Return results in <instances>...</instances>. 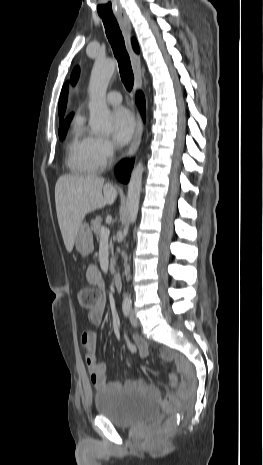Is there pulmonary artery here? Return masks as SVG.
I'll return each instance as SVG.
<instances>
[{
    "label": "pulmonary artery",
    "instance_id": "1",
    "mask_svg": "<svg viewBox=\"0 0 263 465\" xmlns=\"http://www.w3.org/2000/svg\"><path fill=\"white\" fill-rule=\"evenodd\" d=\"M106 100L111 105H118L122 102V96L118 91H110L106 96Z\"/></svg>",
    "mask_w": 263,
    "mask_h": 465
}]
</instances>
